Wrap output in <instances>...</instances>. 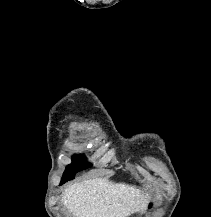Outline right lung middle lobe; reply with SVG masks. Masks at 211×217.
I'll return each instance as SVG.
<instances>
[{"label":"right lung middle lobe","mask_w":211,"mask_h":217,"mask_svg":"<svg viewBox=\"0 0 211 217\" xmlns=\"http://www.w3.org/2000/svg\"><path fill=\"white\" fill-rule=\"evenodd\" d=\"M91 164L86 161L85 156L83 155H75L72 158V164L68 165L63 177L62 181L67 182L75 177V174L81 170L87 169Z\"/></svg>","instance_id":"right-lung-middle-lobe-1"}]
</instances>
